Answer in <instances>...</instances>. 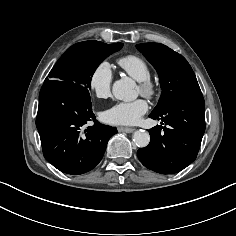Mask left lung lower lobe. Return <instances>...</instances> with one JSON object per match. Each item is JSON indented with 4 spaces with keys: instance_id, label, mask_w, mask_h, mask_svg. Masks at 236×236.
<instances>
[{
    "instance_id": "0a47b994",
    "label": "left lung lower lobe",
    "mask_w": 236,
    "mask_h": 236,
    "mask_svg": "<svg viewBox=\"0 0 236 236\" xmlns=\"http://www.w3.org/2000/svg\"><path fill=\"white\" fill-rule=\"evenodd\" d=\"M204 109L201 91H194L175 98L160 114H150L165 126L150 129L151 142L137 151L140 162L162 174H173L190 165L205 131Z\"/></svg>"
}]
</instances>
